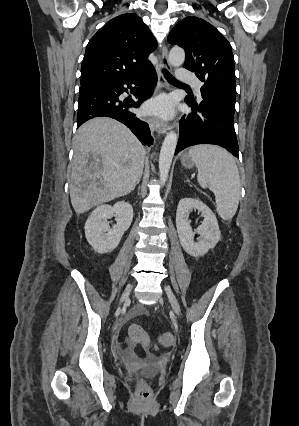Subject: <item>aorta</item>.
I'll return each instance as SVG.
<instances>
[{
  "instance_id": "obj_1",
  "label": "aorta",
  "mask_w": 299,
  "mask_h": 426,
  "mask_svg": "<svg viewBox=\"0 0 299 426\" xmlns=\"http://www.w3.org/2000/svg\"><path fill=\"white\" fill-rule=\"evenodd\" d=\"M168 60L174 67L181 66L185 60L184 50L178 46L173 47L169 52ZM177 142L178 135L175 131L171 130L167 133L162 143L159 155V178L162 185L167 181Z\"/></svg>"
}]
</instances>
